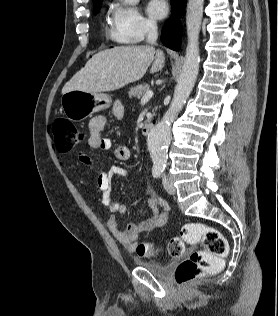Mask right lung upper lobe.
I'll use <instances>...</instances> for the list:
<instances>
[{
	"mask_svg": "<svg viewBox=\"0 0 278 316\" xmlns=\"http://www.w3.org/2000/svg\"><path fill=\"white\" fill-rule=\"evenodd\" d=\"M99 1H102V0H93V5H95V4L98 3Z\"/></svg>",
	"mask_w": 278,
	"mask_h": 316,
	"instance_id": "obj_1",
	"label": "right lung upper lobe"
}]
</instances>
